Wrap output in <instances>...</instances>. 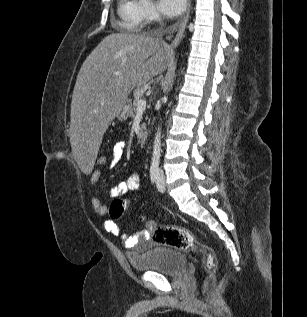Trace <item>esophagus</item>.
<instances>
[{
    "instance_id": "esophagus-1",
    "label": "esophagus",
    "mask_w": 307,
    "mask_h": 317,
    "mask_svg": "<svg viewBox=\"0 0 307 317\" xmlns=\"http://www.w3.org/2000/svg\"><path fill=\"white\" fill-rule=\"evenodd\" d=\"M190 9H191V0H188L187 2V11H186V15L183 19V21L181 22L180 28L174 38V40L171 43V48H176L179 43L181 42L183 35H184V31L188 22V18H189V14H190Z\"/></svg>"
}]
</instances>
